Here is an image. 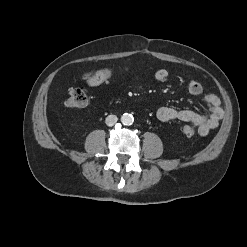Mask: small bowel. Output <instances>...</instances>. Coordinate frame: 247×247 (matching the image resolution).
<instances>
[{
  "instance_id": "obj_1",
  "label": "small bowel",
  "mask_w": 247,
  "mask_h": 247,
  "mask_svg": "<svg viewBox=\"0 0 247 247\" xmlns=\"http://www.w3.org/2000/svg\"><path fill=\"white\" fill-rule=\"evenodd\" d=\"M90 74H85L84 78L87 80ZM154 78L159 82H166L169 79V73L167 70L161 69L155 72ZM188 90L192 95H201L203 93L202 85L195 80L189 82ZM204 100L209 108L208 116L186 108L160 107L156 111V117L160 121L178 120L194 124L198 127L199 134L206 136L219 125V122L223 118L224 110L217 95L209 93L205 95Z\"/></svg>"
}]
</instances>
